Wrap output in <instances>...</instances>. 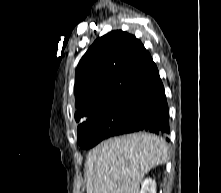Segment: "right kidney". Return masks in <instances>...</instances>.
Segmentation results:
<instances>
[{
    "label": "right kidney",
    "instance_id": "obj_1",
    "mask_svg": "<svg viewBox=\"0 0 221 193\" xmlns=\"http://www.w3.org/2000/svg\"><path fill=\"white\" fill-rule=\"evenodd\" d=\"M140 193H156V182L151 178H147L142 183Z\"/></svg>",
    "mask_w": 221,
    "mask_h": 193
}]
</instances>
